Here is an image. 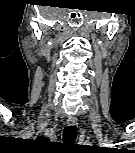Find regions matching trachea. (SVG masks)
Segmentation results:
<instances>
[{
  "label": "trachea",
  "instance_id": "1",
  "mask_svg": "<svg viewBox=\"0 0 135 153\" xmlns=\"http://www.w3.org/2000/svg\"><path fill=\"white\" fill-rule=\"evenodd\" d=\"M77 136V128L75 125L68 126L64 129L63 141L64 143H74Z\"/></svg>",
  "mask_w": 135,
  "mask_h": 153
}]
</instances>
